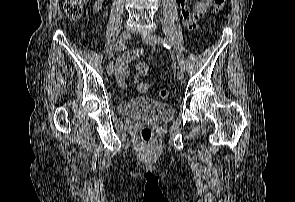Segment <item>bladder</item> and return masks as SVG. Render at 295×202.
Segmentation results:
<instances>
[{"instance_id":"obj_1","label":"bladder","mask_w":295,"mask_h":202,"mask_svg":"<svg viewBox=\"0 0 295 202\" xmlns=\"http://www.w3.org/2000/svg\"><path fill=\"white\" fill-rule=\"evenodd\" d=\"M119 115L129 119L145 118L164 122L173 117L174 110L167 102L151 97H139L122 102L119 107Z\"/></svg>"}]
</instances>
